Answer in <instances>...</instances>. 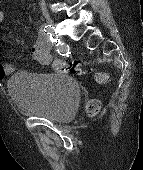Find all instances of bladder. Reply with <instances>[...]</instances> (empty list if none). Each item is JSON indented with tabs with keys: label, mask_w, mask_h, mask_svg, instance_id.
<instances>
[{
	"label": "bladder",
	"mask_w": 143,
	"mask_h": 170,
	"mask_svg": "<svg viewBox=\"0 0 143 170\" xmlns=\"http://www.w3.org/2000/svg\"><path fill=\"white\" fill-rule=\"evenodd\" d=\"M7 89L22 112L55 122L74 118L81 98L77 81L63 72L18 71Z\"/></svg>",
	"instance_id": "bladder-1"
}]
</instances>
